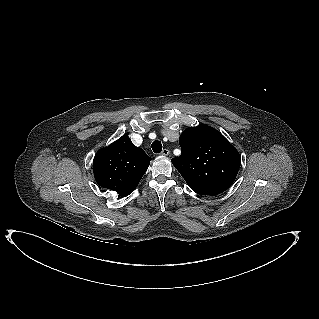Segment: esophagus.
Listing matches in <instances>:
<instances>
[{"label": "esophagus", "instance_id": "obj_1", "mask_svg": "<svg viewBox=\"0 0 319 319\" xmlns=\"http://www.w3.org/2000/svg\"><path fill=\"white\" fill-rule=\"evenodd\" d=\"M161 154L164 156H168L170 154V151L168 149H163Z\"/></svg>", "mask_w": 319, "mask_h": 319}]
</instances>
